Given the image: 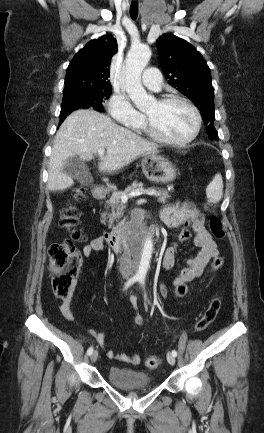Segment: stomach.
<instances>
[{
  "instance_id": "obj_1",
  "label": "stomach",
  "mask_w": 264,
  "mask_h": 433,
  "mask_svg": "<svg viewBox=\"0 0 264 433\" xmlns=\"http://www.w3.org/2000/svg\"><path fill=\"white\" fill-rule=\"evenodd\" d=\"M141 167L145 177L151 182L168 184L177 176L175 166L161 156L145 155Z\"/></svg>"
}]
</instances>
